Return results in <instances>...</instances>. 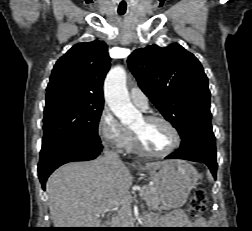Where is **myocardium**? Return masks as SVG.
<instances>
[{
  "mask_svg": "<svg viewBox=\"0 0 252 231\" xmlns=\"http://www.w3.org/2000/svg\"><path fill=\"white\" fill-rule=\"evenodd\" d=\"M143 119L146 122L159 121L164 123L172 132L173 144L164 152H153L145 148L140 137L134 131H131L133 146L137 152L149 157H166L174 153L179 148L181 144V136L176 126L170 120L160 115H146L143 117Z\"/></svg>",
  "mask_w": 252,
  "mask_h": 231,
  "instance_id": "1",
  "label": "myocardium"
}]
</instances>
